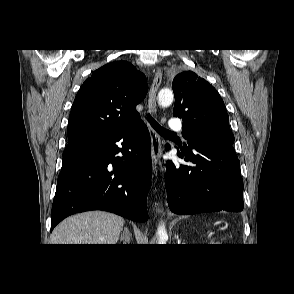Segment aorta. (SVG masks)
<instances>
[{
    "label": "aorta",
    "mask_w": 294,
    "mask_h": 294,
    "mask_svg": "<svg viewBox=\"0 0 294 294\" xmlns=\"http://www.w3.org/2000/svg\"><path fill=\"white\" fill-rule=\"evenodd\" d=\"M173 92L170 89H162L158 94V104L162 107H168L173 102ZM158 244H166L168 234L164 224L158 227Z\"/></svg>",
    "instance_id": "obj_1"
}]
</instances>
